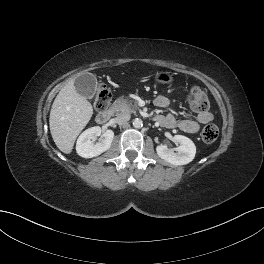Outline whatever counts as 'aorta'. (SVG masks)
I'll return each mask as SVG.
<instances>
[{
	"label": "aorta",
	"mask_w": 264,
	"mask_h": 264,
	"mask_svg": "<svg viewBox=\"0 0 264 264\" xmlns=\"http://www.w3.org/2000/svg\"><path fill=\"white\" fill-rule=\"evenodd\" d=\"M133 126L137 129H139L143 126V121L139 118H136L133 120Z\"/></svg>",
	"instance_id": "1"
}]
</instances>
